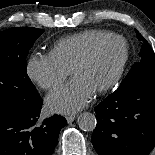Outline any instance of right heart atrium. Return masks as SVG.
I'll list each match as a JSON object with an SVG mask.
<instances>
[{
  "instance_id": "right-heart-atrium-1",
  "label": "right heart atrium",
  "mask_w": 155,
  "mask_h": 155,
  "mask_svg": "<svg viewBox=\"0 0 155 155\" xmlns=\"http://www.w3.org/2000/svg\"><path fill=\"white\" fill-rule=\"evenodd\" d=\"M29 78L41 89L52 90L60 86L69 75L51 54H33L27 63Z\"/></svg>"
}]
</instances>
